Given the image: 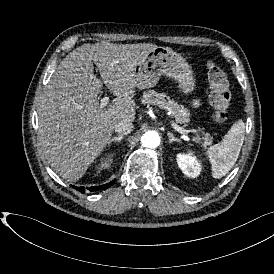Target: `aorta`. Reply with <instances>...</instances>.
<instances>
[{
    "label": "aorta",
    "instance_id": "obj_1",
    "mask_svg": "<svg viewBox=\"0 0 274 274\" xmlns=\"http://www.w3.org/2000/svg\"><path fill=\"white\" fill-rule=\"evenodd\" d=\"M160 144V136L156 131H148L141 137V145L146 148L154 149Z\"/></svg>",
    "mask_w": 274,
    "mask_h": 274
}]
</instances>
